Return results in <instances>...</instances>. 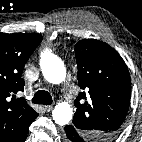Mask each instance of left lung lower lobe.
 I'll use <instances>...</instances> for the list:
<instances>
[{
    "label": "left lung lower lobe",
    "instance_id": "0a47b994",
    "mask_svg": "<svg viewBox=\"0 0 142 142\" xmlns=\"http://www.w3.org/2000/svg\"><path fill=\"white\" fill-rule=\"evenodd\" d=\"M64 130L66 133L67 142H87L86 138L72 125L66 126Z\"/></svg>",
    "mask_w": 142,
    "mask_h": 142
}]
</instances>
